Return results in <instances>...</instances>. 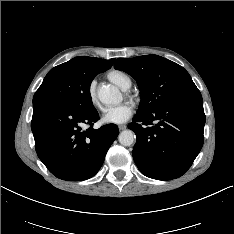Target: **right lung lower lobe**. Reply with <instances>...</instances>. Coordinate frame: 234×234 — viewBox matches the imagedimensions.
<instances>
[{"instance_id": "obj_1", "label": "right lung lower lobe", "mask_w": 234, "mask_h": 234, "mask_svg": "<svg viewBox=\"0 0 234 234\" xmlns=\"http://www.w3.org/2000/svg\"><path fill=\"white\" fill-rule=\"evenodd\" d=\"M99 120L94 107L77 109L65 103L40 101L33 104L31 129L39 159L57 178L81 181L94 176L118 136V127L108 124L93 129ZM89 124L83 130L81 126Z\"/></svg>"}]
</instances>
